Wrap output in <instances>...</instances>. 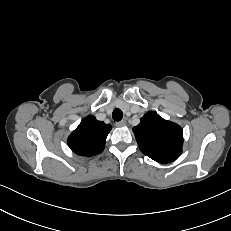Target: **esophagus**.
<instances>
[{
	"mask_svg": "<svg viewBox=\"0 0 231 231\" xmlns=\"http://www.w3.org/2000/svg\"><path fill=\"white\" fill-rule=\"evenodd\" d=\"M115 125H116L117 127H123V126L126 125V122H125L124 120H122V121L116 122Z\"/></svg>",
	"mask_w": 231,
	"mask_h": 231,
	"instance_id": "34e87169",
	"label": "esophagus"
}]
</instances>
